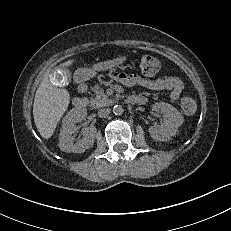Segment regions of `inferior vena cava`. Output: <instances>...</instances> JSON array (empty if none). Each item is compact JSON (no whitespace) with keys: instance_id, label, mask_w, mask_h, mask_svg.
Here are the masks:
<instances>
[{"instance_id":"inferior-vena-cava-1","label":"inferior vena cava","mask_w":231,"mask_h":231,"mask_svg":"<svg viewBox=\"0 0 231 231\" xmlns=\"http://www.w3.org/2000/svg\"><path fill=\"white\" fill-rule=\"evenodd\" d=\"M110 109L109 108H103L98 111V116L101 118H106L110 114Z\"/></svg>"}]
</instances>
